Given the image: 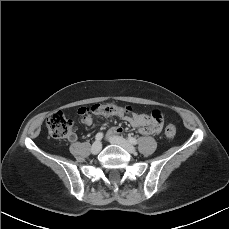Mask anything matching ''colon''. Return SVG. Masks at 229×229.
I'll return each mask as SVG.
<instances>
[{
	"mask_svg": "<svg viewBox=\"0 0 229 229\" xmlns=\"http://www.w3.org/2000/svg\"><path fill=\"white\" fill-rule=\"evenodd\" d=\"M131 106H119L114 103L93 104L88 107L79 109L80 115H96V116H110L122 112H131ZM164 116L160 110H153L148 114V122L160 126L163 123ZM47 129L49 135L54 139H65L72 133V122L61 111L52 113L47 118ZM176 134V128L172 125L165 129V136L169 139L173 138Z\"/></svg>",
	"mask_w": 229,
	"mask_h": 229,
	"instance_id": "colon-1",
	"label": "colon"
}]
</instances>
